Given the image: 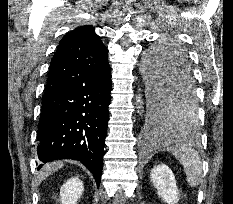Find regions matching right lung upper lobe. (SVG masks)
I'll list each match as a JSON object with an SVG mask.
<instances>
[{
  "mask_svg": "<svg viewBox=\"0 0 233 204\" xmlns=\"http://www.w3.org/2000/svg\"><path fill=\"white\" fill-rule=\"evenodd\" d=\"M108 51L94 28L80 26L67 33L59 43L49 67L45 92L66 85L89 70L107 66Z\"/></svg>",
  "mask_w": 233,
  "mask_h": 204,
  "instance_id": "right-lung-upper-lobe-1",
  "label": "right lung upper lobe"
}]
</instances>
